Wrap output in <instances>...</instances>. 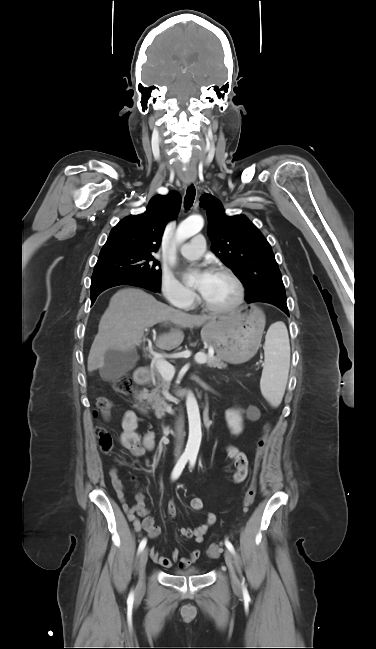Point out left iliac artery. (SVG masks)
<instances>
[{
  "mask_svg": "<svg viewBox=\"0 0 376 649\" xmlns=\"http://www.w3.org/2000/svg\"><path fill=\"white\" fill-rule=\"evenodd\" d=\"M195 462H196V456H195V455H192V456L190 457V467H191V468L194 467ZM225 545H226V547L228 548V550H229L231 553H233V554L235 553V551H234V547H233V545L231 544L230 541L225 540ZM243 589L246 590L245 587H244Z\"/></svg>",
  "mask_w": 376,
  "mask_h": 649,
  "instance_id": "obj_1",
  "label": "left iliac artery"
}]
</instances>
